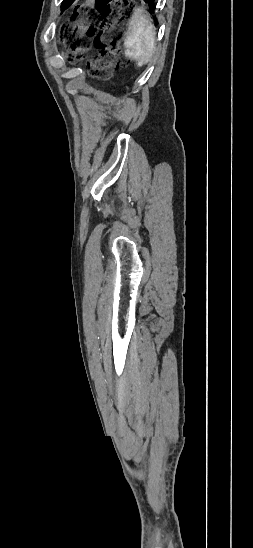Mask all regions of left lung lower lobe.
Wrapping results in <instances>:
<instances>
[{
	"mask_svg": "<svg viewBox=\"0 0 253 548\" xmlns=\"http://www.w3.org/2000/svg\"><path fill=\"white\" fill-rule=\"evenodd\" d=\"M75 0H63V3H62V6H61V9L62 10H65L66 8H68ZM146 3H148L152 9L155 8V0H144Z\"/></svg>",
	"mask_w": 253,
	"mask_h": 548,
	"instance_id": "obj_1",
	"label": "left lung lower lobe"
}]
</instances>
